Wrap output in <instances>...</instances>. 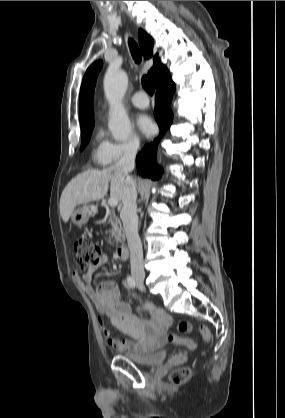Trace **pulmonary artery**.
<instances>
[{
	"label": "pulmonary artery",
	"instance_id": "obj_1",
	"mask_svg": "<svg viewBox=\"0 0 285 418\" xmlns=\"http://www.w3.org/2000/svg\"><path fill=\"white\" fill-rule=\"evenodd\" d=\"M131 103L139 108H146L149 105V99L144 92H138L131 98Z\"/></svg>",
	"mask_w": 285,
	"mask_h": 418
}]
</instances>
